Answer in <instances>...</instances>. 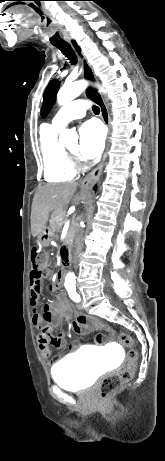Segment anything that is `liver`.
<instances>
[{"label": "liver", "instance_id": "obj_1", "mask_svg": "<svg viewBox=\"0 0 165 461\" xmlns=\"http://www.w3.org/2000/svg\"><path fill=\"white\" fill-rule=\"evenodd\" d=\"M77 186L76 182L46 184L37 190L31 209V232L34 237L42 232L52 211L66 208L70 203L77 205L86 199L87 190L83 189L75 195Z\"/></svg>", "mask_w": 165, "mask_h": 461}]
</instances>
